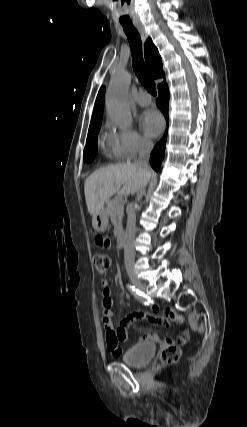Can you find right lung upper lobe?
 Wrapping results in <instances>:
<instances>
[{
    "instance_id": "right-lung-upper-lobe-1",
    "label": "right lung upper lobe",
    "mask_w": 247,
    "mask_h": 427,
    "mask_svg": "<svg viewBox=\"0 0 247 427\" xmlns=\"http://www.w3.org/2000/svg\"><path fill=\"white\" fill-rule=\"evenodd\" d=\"M145 59H146L148 69L155 79L164 77L161 57L151 39H147L145 43ZM104 92H105V87H102L99 90L98 96L96 98L89 129L95 126L101 125L102 115H103V106H104L103 104Z\"/></svg>"
}]
</instances>
